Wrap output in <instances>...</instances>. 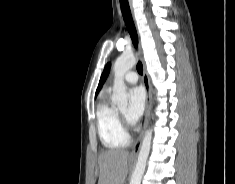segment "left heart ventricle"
Segmentation results:
<instances>
[{
    "mask_svg": "<svg viewBox=\"0 0 235 184\" xmlns=\"http://www.w3.org/2000/svg\"><path fill=\"white\" fill-rule=\"evenodd\" d=\"M126 110H127V109H123V110H121L120 112H121V113H126Z\"/></svg>",
    "mask_w": 235,
    "mask_h": 184,
    "instance_id": "obj_1",
    "label": "left heart ventricle"
}]
</instances>
